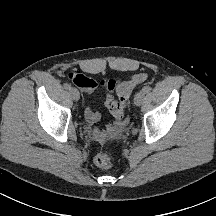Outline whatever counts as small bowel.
Returning a JSON list of instances; mask_svg holds the SVG:
<instances>
[{"label":"small bowel","instance_id":"c3829d8e","mask_svg":"<svg viewBox=\"0 0 216 216\" xmlns=\"http://www.w3.org/2000/svg\"><path fill=\"white\" fill-rule=\"evenodd\" d=\"M74 83L86 94H91L98 87V83L94 79L86 77L85 75H82V79L79 82H74ZM109 96L111 95L108 94L106 96V101H105V105L107 107L109 102L107 98ZM85 118L88 123L95 124L100 121L101 113L88 106L85 109ZM120 129H121L120 124H114L106 128H95L91 131V135L95 140L103 141L109 137L118 134Z\"/></svg>","mask_w":216,"mask_h":216}]
</instances>
